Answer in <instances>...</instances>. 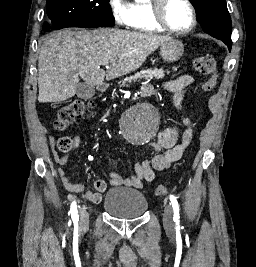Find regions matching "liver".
<instances>
[{"label":"liver","mask_w":256,"mask_h":267,"mask_svg":"<svg viewBox=\"0 0 256 267\" xmlns=\"http://www.w3.org/2000/svg\"><path fill=\"white\" fill-rule=\"evenodd\" d=\"M169 36L116 28H66L45 40L38 58V102H64L75 96L79 78L101 86L141 68ZM103 62L109 66L101 70Z\"/></svg>","instance_id":"1"}]
</instances>
